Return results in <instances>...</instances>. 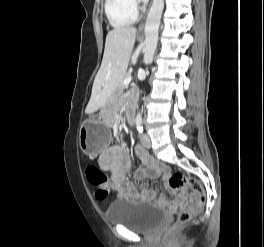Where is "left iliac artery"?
I'll return each instance as SVG.
<instances>
[{
	"label": "left iliac artery",
	"instance_id": "obj_1",
	"mask_svg": "<svg viewBox=\"0 0 264 247\" xmlns=\"http://www.w3.org/2000/svg\"><path fill=\"white\" fill-rule=\"evenodd\" d=\"M136 128L138 130L139 133H142L143 132V122L141 119H137L136 120Z\"/></svg>",
	"mask_w": 264,
	"mask_h": 247
}]
</instances>
